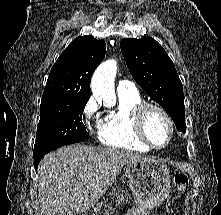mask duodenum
<instances>
[{
    "label": "duodenum",
    "mask_w": 221,
    "mask_h": 215,
    "mask_svg": "<svg viewBox=\"0 0 221 215\" xmlns=\"http://www.w3.org/2000/svg\"><path fill=\"white\" fill-rule=\"evenodd\" d=\"M83 215H93V213L91 211H87L86 213H84Z\"/></svg>",
    "instance_id": "obj_1"
}]
</instances>
